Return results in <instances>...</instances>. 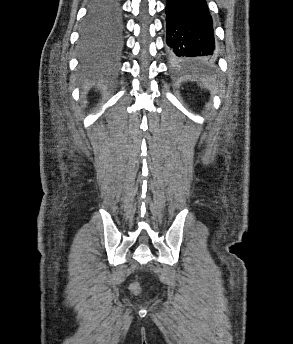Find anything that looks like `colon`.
Wrapping results in <instances>:
<instances>
[{
	"instance_id": "colon-1",
	"label": "colon",
	"mask_w": 293,
	"mask_h": 344,
	"mask_svg": "<svg viewBox=\"0 0 293 344\" xmlns=\"http://www.w3.org/2000/svg\"><path fill=\"white\" fill-rule=\"evenodd\" d=\"M130 289L134 294H140L141 293V287L137 282H133L130 285Z\"/></svg>"
}]
</instances>
